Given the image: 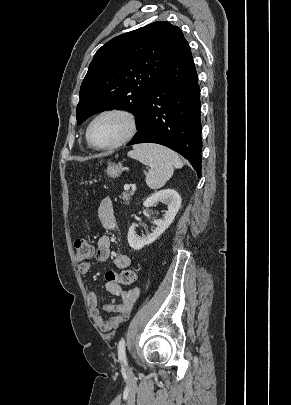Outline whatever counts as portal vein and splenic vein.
<instances>
[{"label": "portal vein and splenic vein", "mask_w": 291, "mask_h": 405, "mask_svg": "<svg viewBox=\"0 0 291 405\" xmlns=\"http://www.w3.org/2000/svg\"><path fill=\"white\" fill-rule=\"evenodd\" d=\"M124 189H125V190H130V185H129V184H125V185H124Z\"/></svg>", "instance_id": "18ae733b"}]
</instances>
